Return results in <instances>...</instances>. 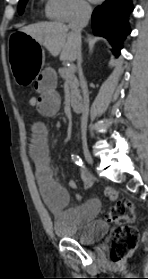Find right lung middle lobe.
<instances>
[{
	"mask_svg": "<svg viewBox=\"0 0 148 279\" xmlns=\"http://www.w3.org/2000/svg\"><path fill=\"white\" fill-rule=\"evenodd\" d=\"M27 1L28 0H20L19 1V4H18V12H19V14L23 13Z\"/></svg>",
	"mask_w": 148,
	"mask_h": 279,
	"instance_id": "dd1d6c3e",
	"label": "right lung middle lobe"
}]
</instances>
